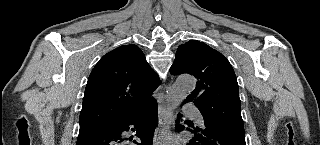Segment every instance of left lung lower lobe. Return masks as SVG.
I'll list each match as a JSON object with an SVG mask.
<instances>
[{"label":"left lung lower lobe","mask_w":320,"mask_h":145,"mask_svg":"<svg viewBox=\"0 0 320 145\" xmlns=\"http://www.w3.org/2000/svg\"><path fill=\"white\" fill-rule=\"evenodd\" d=\"M178 117L182 116L179 114ZM176 129L183 130L185 127L176 124ZM191 131L194 137L187 145H246L244 132L241 131L223 127L207 129L204 133L197 132L195 129Z\"/></svg>","instance_id":"0a47b994"}]
</instances>
